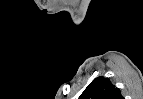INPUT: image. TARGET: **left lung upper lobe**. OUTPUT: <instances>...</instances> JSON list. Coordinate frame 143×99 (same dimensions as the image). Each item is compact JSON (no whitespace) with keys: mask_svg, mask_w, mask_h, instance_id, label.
Returning a JSON list of instances; mask_svg holds the SVG:
<instances>
[{"mask_svg":"<svg viewBox=\"0 0 143 99\" xmlns=\"http://www.w3.org/2000/svg\"><path fill=\"white\" fill-rule=\"evenodd\" d=\"M79 99H123V97L108 78L99 76L86 87Z\"/></svg>","mask_w":143,"mask_h":99,"instance_id":"1","label":"left lung upper lobe"}]
</instances>
